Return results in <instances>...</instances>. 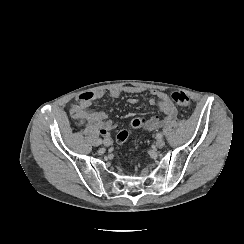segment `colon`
<instances>
[{
  "label": "colon",
  "mask_w": 244,
  "mask_h": 244,
  "mask_svg": "<svg viewBox=\"0 0 244 244\" xmlns=\"http://www.w3.org/2000/svg\"><path fill=\"white\" fill-rule=\"evenodd\" d=\"M173 103L179 107H189L191 105V99L189 96L183 91H174L170 95ZM146 122V118L142 117L135 120L129 127L132 129L133 127H140L144 125ZM127 130H122L116 135V140L119 144L125 143L127 140Z\"/></svg>",
  "instance_id": "1"
}]
</instances>
